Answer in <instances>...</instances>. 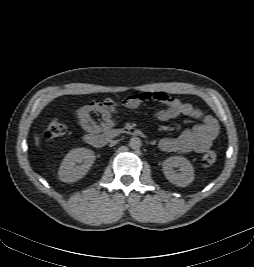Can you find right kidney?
<instances>
[{"label":"right kidney","mask_w":254,"mask_h":267,"mask_svg":"<svg viewBox=\"0 0 254 267\" xmlns=\"http://www.w3.org/2000/svg\"><path fill=\"white\" fill-rule=\"evenodd\" d=\"M95 161L92 150L86 148H75L64 157L59 171V179L65 183L76 182L83 178ZM76 163H83L76 165Z\"/></svg>","instance_id":"obj_1"}]
</instances>
